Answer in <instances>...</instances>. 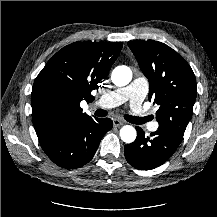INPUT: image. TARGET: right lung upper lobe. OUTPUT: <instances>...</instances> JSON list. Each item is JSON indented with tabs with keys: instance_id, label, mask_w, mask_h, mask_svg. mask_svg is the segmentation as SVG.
Wrapping results in <instances>:
<instances>
[{
	"instance_id": "1",
	"label": "right lung upper lobe",
	"mask_w": 217,
	"mask_h": 217,
	"mask_svg": "<svg viewBox=\"0 0 217 217\" xmlns=\"http://www.w3.org/2000/svg\"><path fill=\"white\" fill-rule=\"evenodd\" d=\"M122 42H74L58 51L35 79L31 93L37 136L89 118L80 102H92L91 91L106 78Z\"/></svg>"
}]
</instances>
